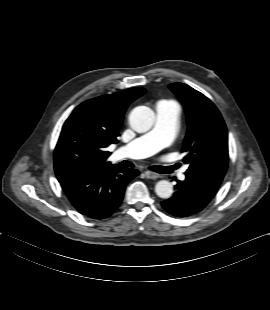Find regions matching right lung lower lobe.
I'll return each instance as SVG.
<instances>
[{
  "instance_id": "obj_1",
  "label": "right lung lower lobe",
  "mask_w": 270,
  "mask_h": 310,
  "mask_svg": "<svg viewBox=\"0 0 270 310\" xmlns=\"http://www.w3.org/2000/svg\"><path fill=\"white\" fill-rule=\"evenodd\" d=\"M139 171L119 165L67 174L58 181L74 208L92 219L111 216L120 206L127 184Z\"/></svg>"
}]
</instances>
